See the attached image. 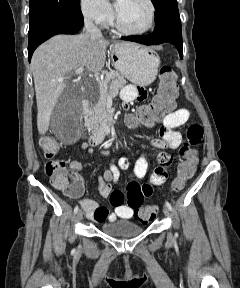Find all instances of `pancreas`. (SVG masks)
<instances>
[{
	"mask_svg": "<svg viewBox=\"0 0 240 288\" xmlns=\"http://www.w3.org/2000/svg\"><path fill=\"white\" fill-rule=\"evenodd\" d=\"M127 81L117 71L111 70L105 73L102 81L94 82L93 88L96 90L97 102L92 104L88 113L85 115L87 119L95 117L106 112V102L109 92L115 91L126 85Z\"/></svg>",
	"mask_w": 240,
	"mask_h": 288,
	"instance_id": "cf45deb5",
	"label": "pancreas"
}]
</instances>
